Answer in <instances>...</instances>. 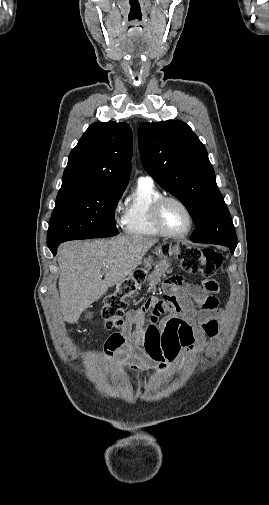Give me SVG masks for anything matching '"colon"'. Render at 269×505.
Listing matches in <instances>:
<instances>
[{
	"label": "colon",
	"mask_w": 269,
	"mask_h": 505,
	"mask_svg": "<svg viewBox=\"0 0 269 505\" xmlns=\"http://www.w3.org/2000/svg\"><path fill=\"white\" fill-rule=\"evenodd\" d=\"M162 255H175L181 262L186 274H202L205 281L215 280L223 264V255L213 249H201L186 244L173 248H164ZM148 260L143 268L135 270L130 276L123 279L116 291L105 298L102 316L108 330H117L111 336L120 335L129 329V324L124 320L127 308V298L134 295L146 280V269L150 266ZM110 336V337H111Z\"/></svg>",
	"instance_id": "colon-1"
}]
</instances>
